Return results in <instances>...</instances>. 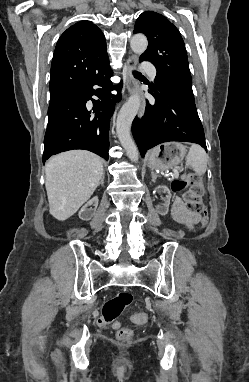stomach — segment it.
Listing matches in <instances>:
<instances>
[{"label": "stomach", "mask_w": 249, "mask_h": 382, "mask_svg": "<svg viewBox=\"0 0 249 382\" xmlns=\"http://www.w3.org/2000/svg\"><path fill=\"white\" fill-rule=\"evenodd\" d=\"M186 152V147L178 142L161 144L149 151L148 165L153 170L167 171L182 163Z\"/></svg>", "instance_id": "1"}]
</instances>
